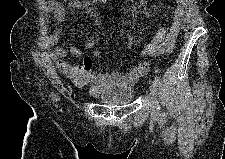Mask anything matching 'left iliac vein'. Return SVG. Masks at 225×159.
I'll list each match as a JSON object with an SVG mask.
<instances>
[{
	"instance_id": "4c4485c4",
	"label": "left iliac vein",
	"mask_w": 225,
	"mask_h": 159,
	"mask_svg": "<svg viewBox=\"0 0 225 159\" xmlns=\"http://www.w3.org/2000/svg\"><path fill=\"white\" fill-rule=\"evenodd\" d=\"M149 96L152 100L153 108H152V116L156 118L158 116V107L156 104V84L153 82L150 86Z\"/></svg>"
}]
</instances>
